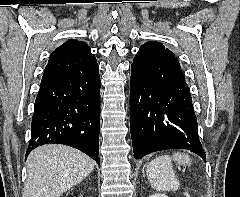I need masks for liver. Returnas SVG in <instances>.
Returning <instances> with one entry per match:
<instances>
[{
	"label": "liver",
	"instance_id": "1",
	"mask_svg": "<svg viewBox=\"0 0 240 197\" xmlns=\"http://www.w3.org/2000/svg\"><path fill=\"white\" fill-rule=\"evenodd\" d=\"M95 162L83 152L61 144H47L28 156L24 197H60L94 169Z\"/></svg>",
	"mask_w": 240,
	"mask_h": 197
}]
</instances>
